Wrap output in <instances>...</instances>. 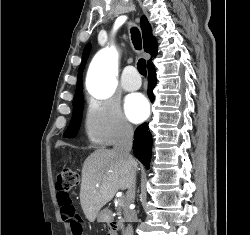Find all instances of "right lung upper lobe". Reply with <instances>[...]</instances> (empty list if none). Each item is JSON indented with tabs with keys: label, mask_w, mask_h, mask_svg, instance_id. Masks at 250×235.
I'll return each mask as SVG.
<instances>
[{
	"label": "right lung upper lobe",
	"mask_w": 250,
	"mask_h": 235,
	"mask_svg": "<svg viewBox=\"0 0 250 235\" xmlns=\"http://www.w3.org/2000/svg\"><path fill=\"white\" fill-rule=\"evenodd\" d=\"M140 27L142 29L144 50L146 52L150 53L151 57L156 56V54H157V42H156L155 37L152 35V28H151V26H150V24L145 16L141 17ZM89 51H90V45L88 44L84 49L82 63L80 65L79 74H78V86H77L76 93H75L74 97L78 96L79 94H82V73H83V68H84L86 59L88 57ZM150 61L151 60H149L148 63Z\"/></svg>",
	"instance_id": "cb5924a9"
}]
</instances>
